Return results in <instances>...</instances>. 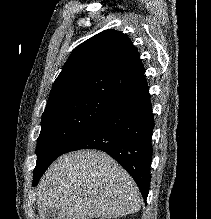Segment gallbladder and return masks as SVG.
I'll return each mask as SVG.
<instances>
[{
    "mask_svg": "<svg viewBox=\"0 0 211 219\" xmlns=\"http://www.w3.org/2000/svg\"><path fill=\"white\" fill-rule=\"evenodd\" d=\"M59 212L60 210L58 208H51L47 212L46 219H58Z\"/></svg>",
    "mask_w": 211,
    "mask_h": 219,
    "instance_id": "bac80fb5",
    "label": "gallbladder"
}]
</instances>
